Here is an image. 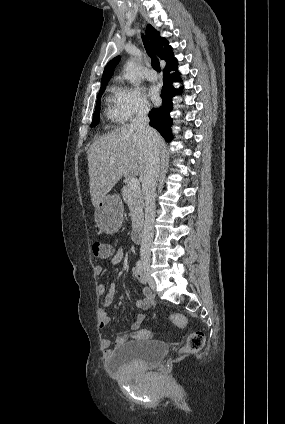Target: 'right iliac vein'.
<instances>
[{
    "label": "right iliac vein",
    "mask_w": 285,
    "mask_h": 424,
    "mask_svg": "<svg viewBox=\"0 0 285 424\" xmlns=\"http://www.w3.org/2000/svg\"><path fill=\"white\" fill-rule=\"evenodd\" d=\"M142 260H143L144 274L147 277V280L149 282V285L152 288H154L155 287V281H154V279L150 275V262H151V260H150L149 257H145V256L142 258Z\"/></svg>",
    "instance_id": "obj_1"
}]
</instances>
